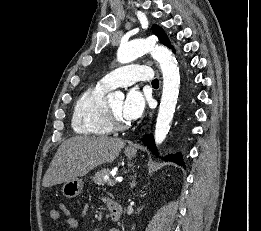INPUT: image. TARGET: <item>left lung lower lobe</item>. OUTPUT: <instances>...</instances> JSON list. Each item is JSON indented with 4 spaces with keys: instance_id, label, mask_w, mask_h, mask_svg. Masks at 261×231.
<instances>
[{
    "instance_id": "obj_1",
    "label": "left lung lower lobe",
    "mask_w": 261,
    "mask_h": 231,
    "mask_svg": "<svg viewBox=\"0 0 261 231\" xmlns=\"http://www.w3.org/2000/svg\"><path fill=\"white\" fill-rule=\"evenodd\" d=\"M142 140H143L144 144L147 145V147L152 151V153L157 156L158 154H157V149L154 144L153 136L145 135ZM163 159L173 161L182 166L184 165L182 156L180 153L168 155Z\"/></svg>"
}]
</instances>
